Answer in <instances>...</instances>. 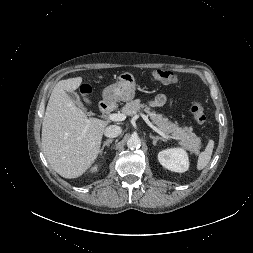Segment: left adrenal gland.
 <instances>
[{"label": "left adrenal gland", "instance_id": "left-adrenal-gland-1", "mask_svg": "<svg viewBox=\"0 0 253 253\" xmlns=\"http://www.w3.org/2000/svg\"><path fill=\"white\" fill-rule=\"evenodd\" d=\"M149 137L153 140V145L155 146L156 143L160 140V141H163V142H166L167 140L162 138V137H159V136H153V135H149Z\"/></svg>", "mask_w": 253, "mask_h": 253}]
</instances>
